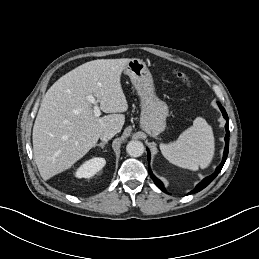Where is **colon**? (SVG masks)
Masks as SVG:
<instances>
[{"label": "colon", "instance_id": "obj_1", "mask_svg": "<svg viewBox=\"0 0 259 259\" xmlns=\"http://www.w3.org/2000/svg\"><path fill=\"white\" fill-rule=\"evenodd\" d=\"M174 75L180 79L183 83H185L187 86H190L191 85V80L189 78V76L187 74H185L184 72H181V71H178V70H175L174 72Z\"/></svg>", "mask_w": 259, "mask_h": 259}]
</instances>
